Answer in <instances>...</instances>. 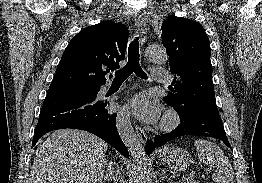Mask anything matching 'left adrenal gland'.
<instances>
[{
    "instance_id": "left-adrenal-gland-1",
    "label": "left adrenal gland",
    "mask_w": 262,
    "mask_h": 183,
    "mask_svg": "<svg viewBox=\"0 0 262 183\" xmlns=\"http://www.w3.org/2000/svg\"><path fill=\"white\" fill-rule=\"evenodd\" d=\"M163 180L172 181V179L169 178V177L166 175V170H165V169L162 170V174H161V181H163Z\"/></svg>"
}]
</instances>
